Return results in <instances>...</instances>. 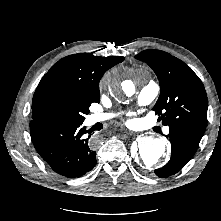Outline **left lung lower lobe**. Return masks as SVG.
<instances>
[{
	"label": "left lung lower lobe",
	"mask_w": 221,
	"mask_h": 221,
	"mask_svg": "<svg viewBox=\"0 0 221 221\" xmlns=\"http://www.w3.org/2000/svg\"><path fill=\"white\" fill-rule=\"evenodd\" d=\"M169 130L167 137L171 142V158L165 166L154 171L161 178H166L180 171L193 157L202 138V135L178 127L169 128Z\"/></svg>",
	"instance_id": "obj_1"
}]
</instances>
